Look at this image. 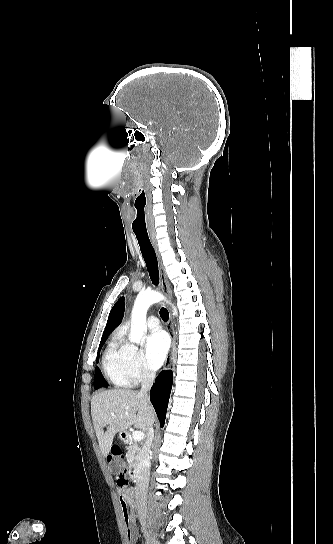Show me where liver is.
Masks as SVG:
<instances>
[{"label": "liver", "instance_id": "6515ba94", "mask_svg": "<svg viewBox=\"0 0 333 544\" xmlns=\"http://www.w3.org/2000/svg\"><path fill=\"white\" fill-rule=\"evenodd\" d=\"M91 415L103 457H106L117 432L132 425L146 430L155 420V412L146 395L127 389H112L95 394ZM108 426L106 432L104 427Z\"/></svg>", "mask_w": 333, "mask_h": 544}]
</instances>
